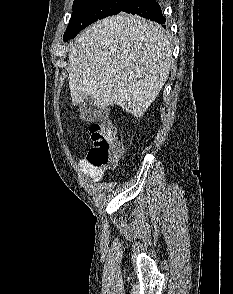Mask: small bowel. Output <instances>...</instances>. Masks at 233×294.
Segmentation results:
<instances>
[{
    "mask_svg": "<svg viewBox=\"0 0 233 294\" xmlns=\"http://www.w3.org/2000/svg\"><path fill=\"white\" fill-rule=\"evenodd\" d=\"M80 166L84 169V171L95 181L99 180L101 178V170L96 169L89 165L87 160H81Z\"/></svg>",
    "mask_w": 233,
    "mask_h": 294,
    "instance_id": "obj_1",
    "label": "small bowel"
}]
</instances>
